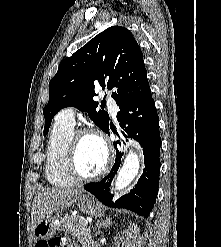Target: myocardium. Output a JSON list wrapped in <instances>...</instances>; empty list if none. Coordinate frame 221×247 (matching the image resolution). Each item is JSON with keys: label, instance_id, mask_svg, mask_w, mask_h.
<instances>
[{"label": "myocardium", "instance_id": "1", "mask_svg": "<svg viewBox=\"0 0 221 247\" xmlns=\"http://www.w3.org/2000/svg\"><path fill=\"white\" fill-rule=\"evenodd\" d=\"M86 135H91L98 138L102 142L106 152V161L103 168L98 173L91 176L82 174L77 164V150H78L79 142L80 139ZM113 161H114V152L112 145L110 144V142L102 132L90 128H80L74 130L66 158L67 170L72 178H74L76 181L79 182L97 181L103 178L110 171L113 165Z\"/></svg>", "mask_w": 221, "mask_h": 247}]
</instances>
